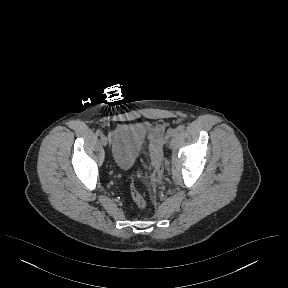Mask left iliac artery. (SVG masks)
I'll use <instances>...</instances> for the list:
<instances>
[{
	"mask_svg": "<svg viewBox=\"0 0 288 288\" xmlns=\"http://www.w3.org/2000/svg\"><path fill=\"white\" fill-rule=\"evenodd\" d=\"M185 129V126L184 125H179L177 127V131H183Z\"/></svg>",
	"mask_w": 288,
	"mask_h": 288,
	"instance_id": "left-iliac-artery-1",
	"label": "left iliac artery"
}]
</instances>
